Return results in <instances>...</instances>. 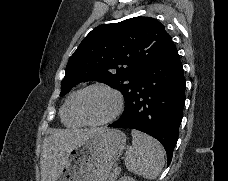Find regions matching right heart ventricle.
Segmentation results:
<instances>
[{
    "mask_svg": "<svg viewBox=\"0 0 228 181\" xmlns=\"http://www.w3.org/2000/svg\"><path fill=\"white\" fill-rule=\"evenodd\" d=\"M77 95L78 92L71 94L62 110V120L69 127H79L83 124L82 120L77 116L74 108V102Z\"/></svg>",
    "mask_w": 228,
    "mask_h": 181,
    "instance_id": "1",
    "label": "right heart ventricle"
}]
</instances>
